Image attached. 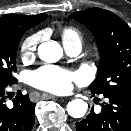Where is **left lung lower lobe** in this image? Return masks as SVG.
Masks as SVG:
<instances>
[{
    "mask_svg": "<svg viewBox=\"0 0 131 131\" xmlns=\"http://www.w3.org/2000/svg\"><path fill=\"white\" fill-rule=\"evenodd\" d=\"M107 103L99 114L93 108L87 118L76 123L77 131H131V97L103 94Z\"/></svg>",
    "mask_w": 131,
    "mask_h": 131,
    "instance_id": "obj_1",
    "label": "left lung lower lobe"
}]
</instances>
